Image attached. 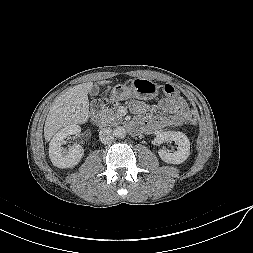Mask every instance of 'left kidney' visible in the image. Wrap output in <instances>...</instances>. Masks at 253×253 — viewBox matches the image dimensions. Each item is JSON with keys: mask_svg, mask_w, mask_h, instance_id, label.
<instances>
[{"mask_svg": "<svg viewBox=\"0 0 253 253\" xmlns=\"http://www.w3.org/2000/svg\"><path fill=\"white\" fill-rule=\"evenodd\" d=\"M157 145H161L163 142H172L174 141L177 146V151L170 153L166 150H159L160 158L170 164H181L183 163L190 155V141L188 137L179 131H167L159 133L155 139Z\"/></svg>", "mask_w": 253, "mask_h": 253, "instance_id": "obj_1", "label": "left kidney"}]
</instances>
